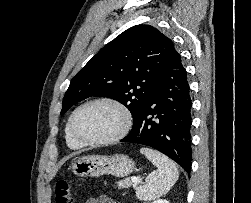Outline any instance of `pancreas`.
I'll use <instances>...</instances> for the list:
<instances>
[{
  "label": "pancreas",
  "mask_w": 251,
  "mask_h": 203,
  "mask_svg": "<svg viewBox=\"0 0 251 203\" xmlns=\"http://www.w3.org/2000/svg\"><path fill=\"white\" fill-rule=\"evenodd\" d=\"M117 185L120 189L129 188L132 185L130 178H126L125 180H120L117 182Z\"/></svg>",
  "instance_id": "obj_1"
}]
</instances>
